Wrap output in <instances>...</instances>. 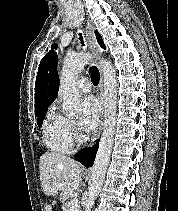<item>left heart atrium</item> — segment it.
<instances>
[{
    "label": "left heart atrium",
    "mask_w": 178,
    "mask_h": 211,
    "mask_svg": "<svg viewBox=\"0 0 178 211\" xmlns=\"http://www.w3.org/2000/svg\"><path fill=\"white\" fill-rule=\"evenodd\" d=\"M100 115V105L98 101L89 96L81 101V116L79 124L85 132H90L97 125Z\"/></svg>",
    "instance_id": "left-heart-atrium-1"
}]
</instances>
